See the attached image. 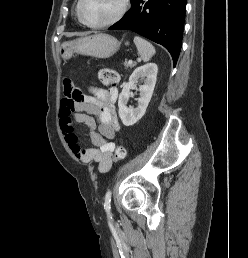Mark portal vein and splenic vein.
<instances>
[{"label":"portal vein and splenic vein","mask_w":248,"mask_h":258,"mask_svg":"<svg viewBox=\"0 0 248 258\" xmlns=\"http://www.w3.org/2000/svg\"><path fill=\"white\" fill-rule=\"evenodd\" d=\"M129 63H133V61H132V60H129Z\"/></svg>","instance_id":"portal-vein-and-splenic-vein-1"}]
</instances>
